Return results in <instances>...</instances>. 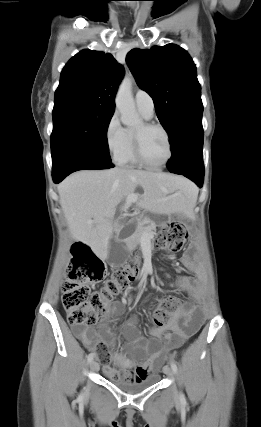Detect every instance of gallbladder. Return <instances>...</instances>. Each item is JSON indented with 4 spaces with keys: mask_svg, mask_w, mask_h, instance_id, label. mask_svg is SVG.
Returning a JSON list of instances; mask_svg holds the SVG:
<instances>
[{
    "mask_svg": "<svg viewBox=\"0 0 261 427\" xmlns=\"http://www.w3.org/2000/svg\"><path fill=\"white\" fill-rule=\"evenodd\" d=\"M127 258V249L125 245L121 242L116 241V239L111 237L108 244V257L107 262L114 266H119L125 262Z\"/></svg>",
    "mask_w": 261,
    "mask_h": 427,
    "instance_id": "gallbladder-1",
    "label": "gallbladder"
}]
</instances>
